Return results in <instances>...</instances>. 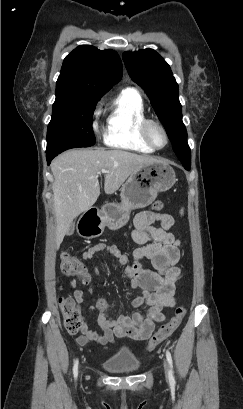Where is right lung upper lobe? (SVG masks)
<instances>
[{"label":"right lung upper lobe","mask_w":243,"mask_h":409,"mask_svg":"<svg viewBox=\"0 0 243 409\" xmlns=\"http://www.w3.org/2000/svg\"><path fill=\"white\" fill-rule=\"evenodd\" d=\"M122 73L121 59L114 50L80 45L64 59L56 90L100 98L121 80Z\"/></svg>","instance_id":"obj_1"}]
</instances>
